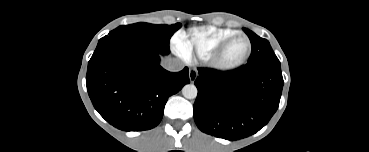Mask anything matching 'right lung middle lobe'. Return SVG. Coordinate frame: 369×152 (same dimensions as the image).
I'll return each mask as SVG.
<instances>
[{"instance_id": "right-lung-middle-lobe-1", "label": "right lung middle lobe", "mask_w": 369, "mask_h": 152, "mask_svg": "<svg viewBox=\"0 0 369 152\" xmlns=\"http://www.w3.org/2000/svg\"><path fill=\"white\" fill-rule=\"evenodd\" d=\"M181 27L180 23L173 25H154L149 23H136L122 25L104 36L97 46L112 40H136L150 45L162 53H170L169 41L171 36Z\"/></svg>"}]
</instances>
